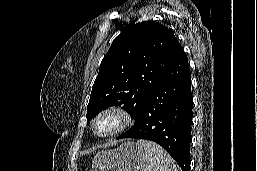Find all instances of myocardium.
<instances>
[{"label": "myocardium", "mask_w": 257, "mask_h": 171, "mask_svg": "<svg viewBox=\"0 0 257 171\" xmlns=\"http://www.w3.org/2000/svg\"><path fill=\"white\" fill-rule=\"evenodd\" d=\"M115 116L118 120V123L115 128H113L111 131L106 133H98L96 131V125L103 117L106 116ZM133 122V116L132 114L125 108L117 105L108 106L102 110H100L93 118L91 129L94 135L100 138H108L116 136L122 132H124L126 129L130 127V125Z\"/></svg>", "instance_id": "1"}]
</instances>
